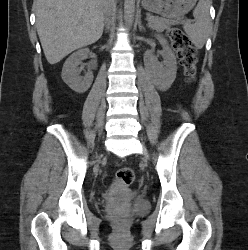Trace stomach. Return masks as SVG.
Returning <instances> with one entry per match:
<instances>
[{
    "mask_svg": "<svg viewBox=\"0 0 248 250\" xmlns=\"http://www.w3.org/2000/svg\"><path fill=\"white\" fill-rule=\"evenodd\" d=\"M197 0H142V6L167 18H178L188 13Z\"/></svg>",
    "mask_w": 248,
    "mask_h": 250,
    "instance_id": "1",
    "label": "stomach"
}]
</instances>
